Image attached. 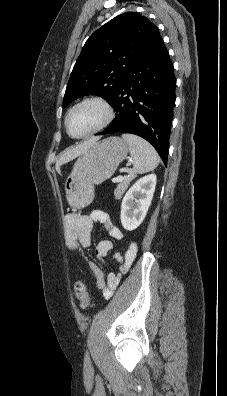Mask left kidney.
Listing matches in <instances>:
<instances>
[{
	"label": "left kidney",
	"mask_w": 227,
	"mask_h": 396,
	"mask_svg": "<svg viewBox=\"0 0 227 396\" xmlns=\"http://www.w3.org/2000/svg\"><path fill=\"white\" fill-rule=\"evenodd\" d=\"M156 175L138 179L125 194L121 204V223L124 229L135 230L143 222L156 186Z\"/></svg>",
	"instance_id": "1"
}]
</instances>
